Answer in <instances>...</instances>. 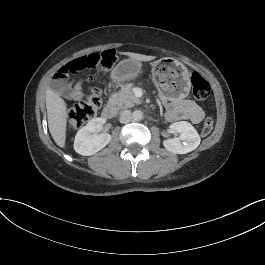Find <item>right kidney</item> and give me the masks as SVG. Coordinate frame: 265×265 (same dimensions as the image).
Masks as SVG:
<instances>
[{"label": "right kidney", "instance_id": "1", "mask_svg": "<svg viewBox=\"0 0 265 265\" xmlns=\"http://www.w3.org/2000/svg\"><path fill=\"white\" fill-rule=\"evenodd\" d=\"M104 122V119L95 118L78 131L74 142V149L78 154L82 156L95 155L110 143L112 139L110 134H96Z\"/></svg>", "mask_w": 265, "mask_h": 265}]
</instances>
